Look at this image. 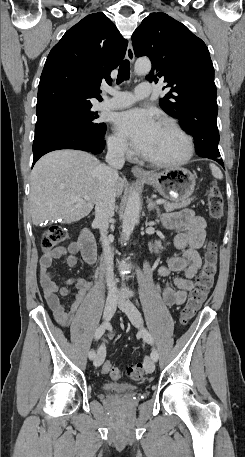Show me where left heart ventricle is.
<instances>
[{
	"instance_id": "1",
	"label": "left heart ventricle",
	"mask_w": 245,
	"mask_h": 457,
	"mask_svg": "<svg viewBox=\"0 0 245 457\" xmlns=\"http://www.w3.org/2000/svg\"><path fill=\"white\" fill-rule=\"evenodd\" d=\"M183 145L184 141L179 135L159 127L152 141L142 152L156 158L176 157L182 153Z\"/></svg>"
}]
</instances>
